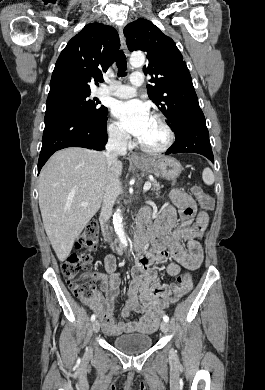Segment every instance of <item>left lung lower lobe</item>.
Masks as SVG:
<instances>
[{
  "label": "left lung lower lobe",
  "instance_id": "0a47b994",
  "mask_svg": "<svg viewBox=\"0 0 265 390\" xmlns=\"http://www.w3.org/2000/svg\"><path fill=\"white\" fill-rule=\"evenodd\" d=\"M175 133V142L165 153H198L214 162L209 141V132L206 127L202 110L194 111L188 116Z\"/></svg>",
  "mask_w": 265,
  "mask_h": 390
}]
</instances>
